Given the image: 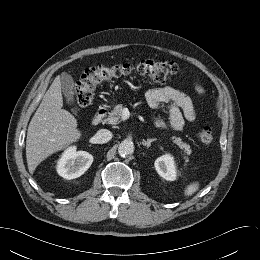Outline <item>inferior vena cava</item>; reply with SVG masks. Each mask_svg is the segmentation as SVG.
<instances>
[{"instance_id":"inferior-vena-cava-1","label":"inferior vena cava","mask_w":260,"mask_h":260,"mask_svg":"<svg viewBox=\"0 0 260 260\" xmlns=\"http://www.w3.org/2000/svg\"><path fill=\"white\" fill-rule=\"evenodd\" d=\"M112 136L111 131L107 129H100L94 137L98 143H106L111 140Z\"/></svg>"}]
</instances>
